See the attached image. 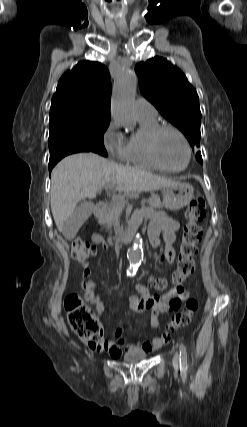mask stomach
Returning <instances> with one entry per match:
<instances>
[{"instance_id": "0dacf381", "label": "stomach", "mask_w": 247, "mask_h": 427, "mask_svg": "<svg viewBox=\"0 0 247 427\" xmlns=\"http://www.w3.org/2000/svg\"><path fill=\"white\" fill-rule=\"evenodd\" d=\"M193 197V186L177 181L163 191V206L170 210H180L187 206Z\"/></svg>"}]
</instances>
